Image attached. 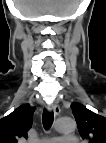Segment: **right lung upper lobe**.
<instances>
[{
	"label": "right lung upper lobe",
	"mask_w": 106,
	"mask_h": 143,
	"mask_svg": "<svg viewBox=\"0 0 106 143\" xmlns=\"http://www.w3.org/2000/svg\"><path fill=\"white\" fill-rule=\"evenodd\" d=\"M34 110L29 104H23L0 119V143H17L21 138H27Z\"/></svg>",
	"instance_id": "right-lung-upper-lobe-1"
}]
</instances>
